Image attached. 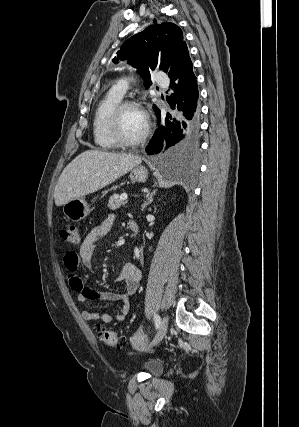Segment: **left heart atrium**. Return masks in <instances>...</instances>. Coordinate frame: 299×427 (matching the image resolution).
<instances>
[{"label":"left heart atrium","instance_id":"obj_1","mask_svg":"<svg viewBox=\"0 0 299 427\" xmlns=\"http://www.w3.org/2000/svg\"><path fill=\"white\" fill-rule=\"evenodd\" d=\"M141 114H142L143 118H144V119H145V121H146V115H145V113L141 111Z\"/></svg>","mask_w":299,"mask_h":427}]
</instances>
